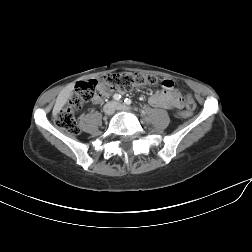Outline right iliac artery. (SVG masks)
I'll return each instance as SVG.
<instances>
[{
	"mask_svg": "<svg viewBox=\"0 0 252 252\" xmlns=\"http://www.w3.org/2000/svg\"><path fill=\"white\" fill-rule=\"evenodd\" d=\"M113 97H114L115 100L118 101V100H120L121 95L120 94H115Z\"/></svg>",
	"mask_w": 252,
	"mask_h": 252,
	"instance_id": "obj_1",
	"label": "right iliac artery"
}]
</instances>
